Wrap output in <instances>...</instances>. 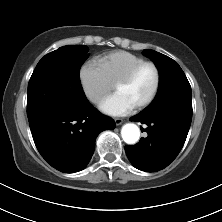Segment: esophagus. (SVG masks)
I'll use <instances>...</instances> for the list:
<instances>
[{
    "label": "esophagus",
    "instance_id": "1",
    "mask_svg": "<svg viewBox=\"0 0 222 222\" xmlns=\"http://www.w3.org/2000/svg\"><path fill=\"white\" fill-rule=\"evenodd\" d=\"M114 121H115L116 125H121L123 123V119H121V118H115Z\"/></svg>",
    "mask_w": 222,
    "mask_h": 222
}]
</instances>
